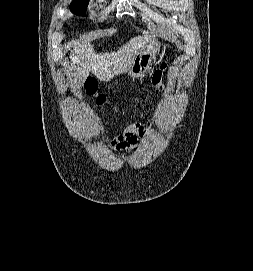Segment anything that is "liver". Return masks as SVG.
<instances>
[{
    "instance_id": "6515ba94",
    "label": "liver",
    "mask_w": 253,
    "mask_h": 271,
    "mask_svg": "<svg viewBox=\"0 0 253 271\" xmlns=\"http://www.w3.org/2000/svg\"><path fill=\"white\" fill-rule=\"evenodd\" d=\"M151 37L144 35L131 38L117 52L111 53L97 54L90 43L75 45L68 66V72H71L73 78L71 87L74 91L81 89L90 72L101 81H110L114 76L129 71L136 55L154 44H148Z\"/></svg>"
}]
</instances>
